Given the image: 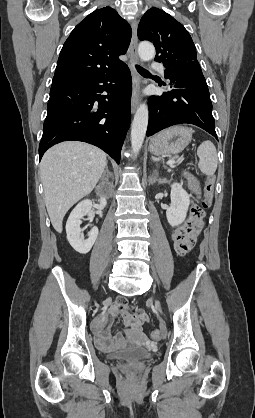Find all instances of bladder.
<instances>
[{
	"mask_svg": "<svg viewBox=\"0 0 255 418\" xmlns=\"http://www.w3.org/2000/svg\"><path fill=\"white\" fill-rule=\"evenodd\" d=\"M111 360L135 359L144 360L152 357V353L143 348H128L108 355Z\"/></svg>",
	"mask_w": 255,
	"mask_h": 418,
	"instance_id": "31cf9c89",
	"label": "bladder"
}]
</instances>
